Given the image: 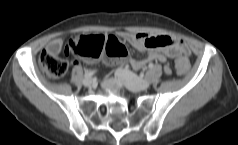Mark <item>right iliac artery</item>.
I'll return each mask as SVG.
<instances>
[{"label":"right iliac artery","instance_id":"right-iliac-artery-1","mask_svg":"<svg viewBox=\"0 0 238 145\" xmlns=\"http://www.w3.org/2000/svg\"><path fill=\"white\" fill-rule=\"evenodd\" d=\"M94 73H95V71H86L85 74H84V77H85V78H89V77H91Z\"/></svg>","mask_w":238,"mask_h":145}]
</instances>
